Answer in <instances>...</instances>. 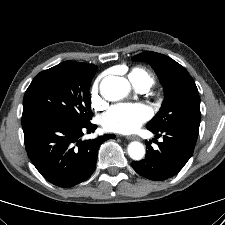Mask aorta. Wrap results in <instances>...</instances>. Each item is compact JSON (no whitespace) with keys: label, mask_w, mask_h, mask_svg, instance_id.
I'll return each instance as SVG.
<instances>
[{"label":"aorta","mask_w":225,"mask_h":225,"mask_svg":"<svg viewBox=\"0 0 225 225\" xmlns=\"http://www.w3.org/2000/svg\"><path fill=\"white\" fill-rule=\"evenodd\" d=\"M130 91V83L127 79L119 76H107L100 83V93L108 101H118L124 98ZM128 154L135 161L143 159L145 147L138 141L128 145Z\"/></svg>","instance_id":"1"}]
</instances>
